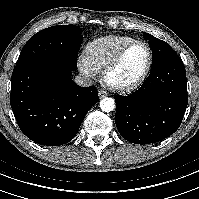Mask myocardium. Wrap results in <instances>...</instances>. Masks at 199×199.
Here are the masks:
<instances>
[{"label":"myocardium","mask_w":199,"mask_h":199,"mask_svg":"<svg viewBox=\"0 0 199 199\" xmlns=\"http://www.w3.org/2000/svg\"><path fill=\"white\" fill-rule=\"evenodd\" d=\"M137 45H141L146 49L147 52V61L145 64L144 69L142 70V72L140 73V75L133 80L132 82H128L125 84H114L110 81V75L112 74V72L114 70H116L119 65L121 64L124 56L126 55V53L133 48L134 46ZM151 65H152V51L150 49V47L142 41H133L131 43H129L128 45H126L125 47H123L117 54L116 56L113 58V60L105 67V69L103 70V80L105 82V84L112 90L114 91H118V92H128V91H132L134 89H136L137 87H139L143 81L146 79L150 69H151Z\"/></svg>","instance_id":"obj_1"}]
</instances>
